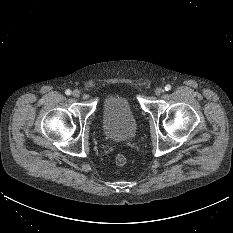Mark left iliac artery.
I'll return each mask as SVG.
<instances>
[{"mask_svg":"<svg viewBox=\"0 0 233 233\" xmlns=\"http://www.w3.org/2000/svg\"><path fill=\"white\" fill-rule=\"evenodd\" d=\"M165 90H166V91L171 90V85H170V84H167V85L165 86Z\"/></svg>","mask_w":233,"mask_h":233,"instance_id":"left-iliac-artery-1","label":"left iliac artery"}]
</instances>
